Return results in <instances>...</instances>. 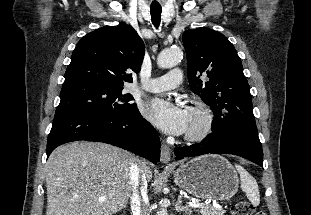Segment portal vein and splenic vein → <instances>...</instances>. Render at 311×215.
<instances>
[{"label": "portal vein and splenic vein", "mask_w": 311, "mask_h": 215, "mask_svg": "<svg viewBox=\"0 0 311 215\" xmlns=\"http://www.w3.org/2000/svg\"><path fill=\"white\" fill-rule=\"evenodd\" d=\"M105 200V197L102 196L99 198V201H104ZM188 205L192 208H200L202 207L201 203H198V202H188Z\"/></svg>", "instance_id": "obj_1"}]
</instances>
